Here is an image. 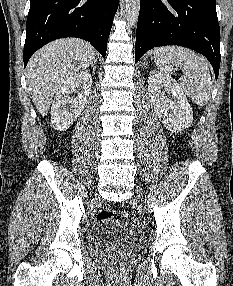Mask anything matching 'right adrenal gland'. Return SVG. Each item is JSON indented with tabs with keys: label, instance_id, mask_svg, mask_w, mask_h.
<instances>
[{
	"label": "right adrenal gland",
	"instance_id": "1",
	"mask_svg": "<svg viewBox=\"0 0 233 286\" xmlns=\"http://www.w3.org/2000/svg\"><path fill=\"white\" fill-rule=\"evenodd\" d=\"M96 63H97V59H95L93 64H91V67L93 68V71L96 70Z\"/></svg>",
	"mask_w": 233,
	"mask_h": 286
}]
</instances>
